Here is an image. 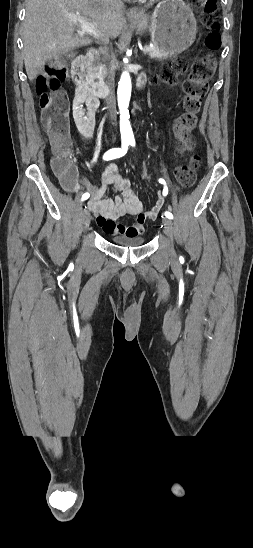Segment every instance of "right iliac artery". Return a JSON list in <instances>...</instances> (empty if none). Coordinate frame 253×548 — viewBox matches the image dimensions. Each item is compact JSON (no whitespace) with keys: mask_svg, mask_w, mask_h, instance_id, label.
I'll return each instance as SVG.
<instances>
[{"mask_svg":"<svg viewBox=\"0 0 253 548\" xmlns=\"http://www.w3.org/2000/svg\"><path fill=\"white\" fill-rule=\"evenodd\" d=\"M128 146H129V142L128 141H123L121 148H112V149L108 150L104 154L103 159L105 161H108V160H112V159L124 156L126 154L127 150H128ZM89 197H90L89 193L83 194L82 201L87 200Z\"/></svg>","mask_w":253,"mask_h":548,"instance_id":"obj_1","label":"right iliac artery"}]
</instances>
